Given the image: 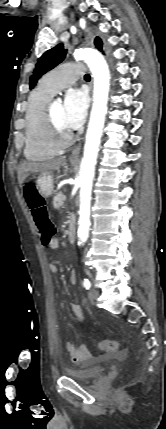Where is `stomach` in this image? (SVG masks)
<instances>
[{
  "label": "stomach",
  "instance_id": "1",
  "mask_svg": "<svg viewBox=\"0 0 166 429\" xmlns=\"http://www.w3.org/2000/svg\"><path fill=\"white\" fill-rule=\"evenodd\" d=\"M36 189H40L41 195L48 198L53 194L54 179L51 174H40L36 179Z\"/></svg>",
  "mask_w": 166,
  "mask_h": 429
}]
</instances>
